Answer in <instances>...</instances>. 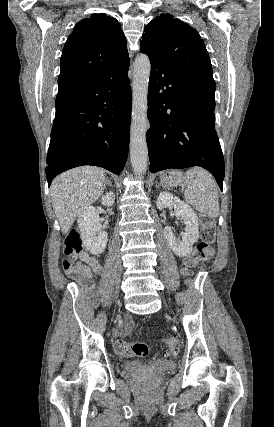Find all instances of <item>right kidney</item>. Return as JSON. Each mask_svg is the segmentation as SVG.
<instances>
[{
  "label": "right kidney",
  "mask_w": 274,
  "mask_h": 427,
  "mask_svg": "<svg viewBox=\"0 0 274 427\" xmlns=\"http://www.w3.org/2000/svg\"><path fill=\"white\" fill-rule=\"evenodd\" d=\"M114 200L115 198L112 192H110V194L102 196L101 204H103V206H113ZM77 223L82 245H84L90 253H93V255L102 253L107 243V231H104L99 214H97L95 208L83 210V212L79 214Z\"/></svg>",
  "instance_id": "right-kidney-1"
}]
</instances>
